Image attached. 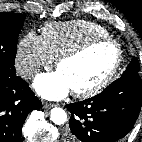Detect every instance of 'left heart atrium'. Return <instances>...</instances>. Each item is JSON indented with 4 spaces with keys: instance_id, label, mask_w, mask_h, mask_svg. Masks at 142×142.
Segmentation results:
<instances>
[{
    "instance_id": "obj_1",
    "label": "left heart atrium",
    "mask_w": 142,
    "mask_h": 142,
    "mask_svg": "<svg viewBox=\"0 0 142 142\" xmlns=\"http://www.w3.org/2000/svg\"><path fill=\"white\" fill-rule=\"evenodd\" d=\"M34 88L40 96L50 100L61 99L72 90L59 70L39 75L34 81Z\"/></svg>"
}]
</instances>
